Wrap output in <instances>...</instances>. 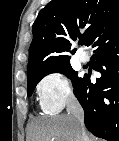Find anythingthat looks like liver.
Here are the masks:
<instances>
[{
    "instance_id": "liver-1",
    "label": "liver",
    "mask_w": 119,
    "mask_h": 141,
    "mask_svg": "<svg viewBox=\"0 0 119 141\" xmlns=\"http://www.w3.org/2000/svg\"><path fill=\"white\" fill-rule=\"evenodd\" d=\"M28 139V141H81V134L72 116L57 115L34 120ZM87 139L97 141L91 135H87Z\"/></svg>"
}]
</instances>
